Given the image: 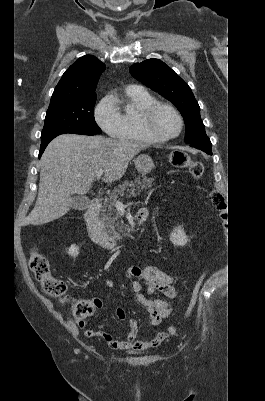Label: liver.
<instances>
[{
	"label": "liver",
	"mask_w": 265,
	"mask_h": 401,
	"mask_svg": "<svg viewBox=\"0 0 265 401\" xmlns=\"http://www.w3.org/2000/svg\"><path fill=\"white\" fill-rule=\"evenodd\" d=\"M148 146L140 140L60 134L41 156L38 194L26 225H45L68 213L71 194H86L100 168L104 182L118 180L135 154Z\"/></svg>",
	"instance_id": "liver-1"
}]
</instances>
